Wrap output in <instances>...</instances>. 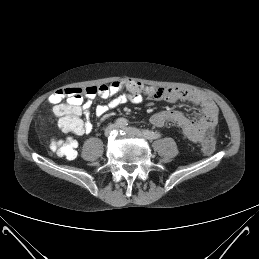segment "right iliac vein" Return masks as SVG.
Wrapping results in <instances>:
<instances>
[{
    "mask_svg": "<svg viewBox=\"0 0 259 259\" xmlns=\"http://www.w3.org/2000/svg\"><path fill=\"white\" fill-rule=\"evenodd\" d=\"M117 128V125L115 124H111L109 125L106 129H105V136H110V134L112 133V131H114Z\"/></svg>",
    "mask_w": 259,
    "mask_h": 259,
    "instance_id": "63e3f726",
    "label": "right iliac vein"
}]
</instances>
